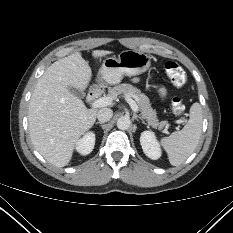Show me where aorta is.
I'll return each instance as SVG.
<instances>
[{"instance_id": "aorta-1", "label": "aorta", "mask_w": 233, "mask_h": 233, "mask_svg": "<svg viewBox=\"0 0 233 233\" xmlns=\"http://www.w3.org/2000/svg\"><path fill=\"white\" fill-rule=\"evenodd\" d=\"M131 121L128 117L122 116L117 120V127L120 130H126L130 127Z\"/></svg>"}]
</instances>
